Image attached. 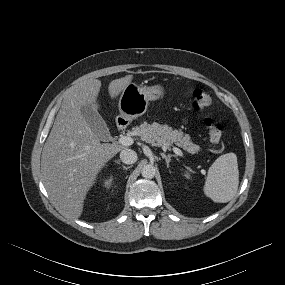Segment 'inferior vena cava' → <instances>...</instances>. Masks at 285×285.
Wrapping results in <instances>:
<instances>
[{
    "mask_svg": "<svg viewBox=\"0 0 285 285\" xmlns=\"http://www.w3.org/2000/svg\"><path fill=\"white\" fill-rule=\"evenodd\" d=\"M120 159L125 164H133L137 161V154L134 150L123 149L120 152Z\"/></svg>",
    "mask_w": 285,
    "mask_h": 285,
    "instance_id": "inferior-vena-cava-1",
    "label": "inferior vena cava"
}]
</instances>
